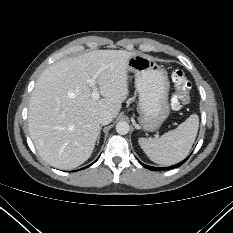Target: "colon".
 <instances>
[{"mask_svg":"<svg viewBox=\"0 0 233 233\" xmlns=\"http://www.w3.org/2000/svg\"><path fill=\"white\" fill-rule=\"evenodd\" d=\"M171 80L175 90L171 98V108L179 111L189 102L191 83L187 75L180 69L172 71Z\"/></svg>","mask_w":233,"mask_h":233,"instance_id":"1","label":"colon"}]
</instances>
